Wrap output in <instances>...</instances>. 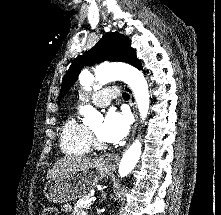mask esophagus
Returning <instances> with one entry per match:
<instances>
[{
    "label": "esophagus",
    "mask_w": 221,
    "mask_h": 215,
    "mask_svg": "<svg viewBox=\"0 0 221 215\" xmlns=\"http://www.w3.org/2000/svg\"><path fill=\"white\" fill-rule=\"evenodd\" d=\"M124 89L126 90V92L130 96V105L132 106L134 117H135V123L132 128L131 138L127 144V147H128L129 144L131 143V141L133 140L134 135H135L137 121H138V115H137L136 101H135L133 91L127 85H124ZM119 159H120V156L117 154H106L100 158V162L108 168H115L118 165Z\"/></svg>",
    "instance_id": "1"
}]
</instances>
